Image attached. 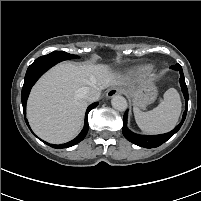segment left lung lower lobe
I'll list each match as a JSON object with an SVG mask.
<instances>
[{"label": "left lung lower lobe", "mask_w": 201, "mask_h": 201, "mask_svg": "<svg viewBox=\"0 0 201 201\" xmlns=\"http://www.w3.org/2000/svg\"><path fill=\"white\" fill-rule=\"evenodd\" d=\"M171 68L175 71L180 72V85H181L182 92L185 97L186 110L184 111L181 122L172 131L165 133V134L153 135V136L139 135V134H136V133H133L132 131H130L127 128V112H126L124 114V119H123V135L128 141H130L140 147L156 148V147L162 145L164 142H166L168 139H170L181 128V126L186 118L187 107H188V90H187V86L185 84L183 70L179 64H176L175 66H171Z\"/></svg>", "instance_id": "left-lung-lower-lobe-1"}]
</instances>
